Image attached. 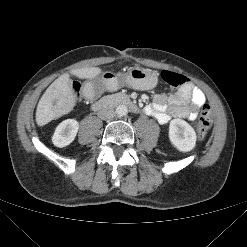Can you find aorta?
I'll return each instance as SVG.
<instances>
[{
	"mask_svg": "<svg viewBox=\"0 0 247 247\" xmlns=\"http://www.w3.org/2000/svg\"><path fill=\"white\" fill-rule=\"evenodd\" d=\"M116 114L120 117L126 116L128 114V108L126 105H119L116 108Z\"/></svg>",
	"mask_w": 247,
	"mask_h": 247,
	"instance_id": "762f6f07",
	"label": "aorta"
}]
</instances>
